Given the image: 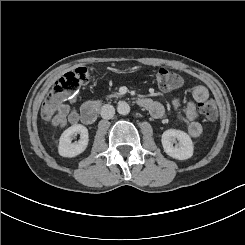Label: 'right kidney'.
Segmentation results:
<instances>
[{
  "mask_svg": "<svg viewBox=\"0 0 245 245\" xmlns=\"http://www.w3.org/2000/svg\"><path fill=\"white\" fill-rule=\"evenodd\" d=\"M77 134H80L79 141L72 143L73 137ZM88 141V129L81 124L72 125L60 137L59 154L63 157H75L86 149Z\"/></svg>",
  "mask_w": 245,
  "mask_h": 245,
  "instance_id": "ca27d5eb",
  "label": "right kidney"
}]
</instances>
